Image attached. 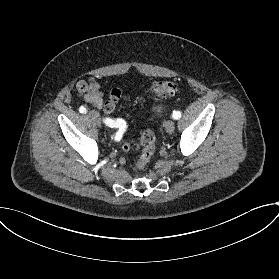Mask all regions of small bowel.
Returning <instances> with one entry per match:
<instances>
[{
  "mask_svg": "<svg viewBox=\"0 0 279 279\" xmlns=\"http://www.w3.org/2000/svg\"><path fill=\"white\" fill-rule=\"evenodd\" d=\"M77 90L85 102L92 104L97 108L102 107V87L94 78H90L87 81L79 82L77 84Z\"/></svg>",
  "mask_w": 279,
  "mask_h": 279,
  "instance_id": "small-bowel-1",
  "label": "small bowel"
}]
</instances>
